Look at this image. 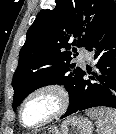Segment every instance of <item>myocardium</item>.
Segmentation results:
<instances>
[{"label":"myocardium","mask_w":116,"mask_h":134,"mask_svg":"<svg viewBox=\"0 0 116 134\" xmlns=\"http://www.w3.org/2000/svg\"><path fill=\"white\" fill-rule=\"evenodd\" d=\"M43 93H50L55 96L57 100V108L56 110L49 115L47 118L39 122L38 124L35 125H28L24 122L23 119V111L26 106V104L36 95L38 94H43ZM69 106V95L67 90L60 84L57 83H48V84H43L40 85L33 90H31L22 100L20 106H19V111H18V117L21 125L25 128L28 129H38L44 126H47L58 119H60L65 112L67 111Z\"/></svg>","instance_id":"f54148a6"}]
</instances>
